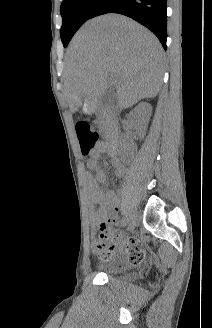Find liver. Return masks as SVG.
Segmentation results:
<instances>
[{
	"label": "liver",
	"mask_w": 212,
	"mask_h": 328,
	"mask_svg": "<svg viewBox=\"0 0 212 328\" xmlns=\"http://www.w3.org/2000/svg\"><path fill=\"white\" fill-rule=\"evenodd\" d=\"M163 49L148 29L122 15L107 14L87 21L66 53L64 94L72 112L102 95L113 75L121 109L160 90Z\"/></svg>",
	"instance_id": "1"
}]
</instances>
